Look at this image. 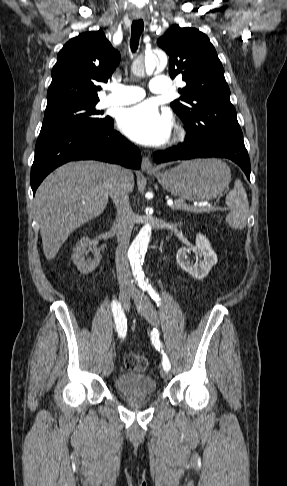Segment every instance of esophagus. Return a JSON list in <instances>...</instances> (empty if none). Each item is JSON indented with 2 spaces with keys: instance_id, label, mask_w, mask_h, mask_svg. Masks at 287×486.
Returning a JSON list of instances; mask_svg holds the SVG:
<instances>
[{
  "instance_id": "esophagus-1",
  "label": "esophagus",
  "mask_w": 287,
  "mask_h": 486,
  "mask_svg": "<svg viewBox=\"0 0 287 486\" xmlns=\"http://www.w3.org/2000/svg\"><path fill=\"white\" fill-rule=\"evenodd\" d=\"M136 19H139V17H137ZM141 168L145 172H154V171H156V168L153 166V164H152V162H151V160L149 159L148 156H143Z\"/></svg>"
}]
</instances>
